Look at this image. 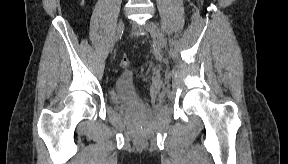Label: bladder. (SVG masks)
I'll return each instance as SVG.
<instances>
[{"mask_svg":"<svg viewBox=\"0 0 288 164\" xmlns=\"http://www.w3.org/2000/svg\"><path fill=\"white\" fill-rule=\"evenodd\" d=\"M111 100L117 105L126 106H134L142 102L131 72L123 71L118 75L111 90Z\"/></svg>","mask_w":288,"mask_h":164,"instance_id":"bladder-1","label":"bladder"}]
</instances>
